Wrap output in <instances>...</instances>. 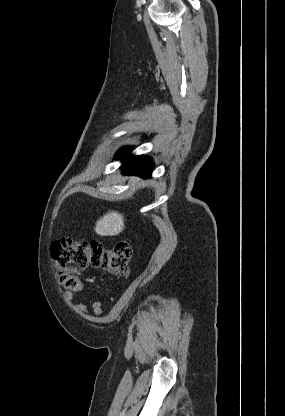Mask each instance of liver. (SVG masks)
<instances>
[{
    "mask_svg": "<svg viewBox=\"0 0 285 416\" xmlns=\"http://www.w3.org/2000/svg\"><path fill=\"white\" fill-rule=\"evenodd\" d=\"M125 230L124 216L118 212H107L103 218L96 222L94 232L98 236H117Z\"/></svg>",
    "mask_w": 285,
    "mask_h": 416,
    "instance_id": "liver-1",
    "label": "liver"
}]
</instances>
